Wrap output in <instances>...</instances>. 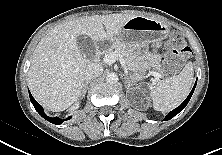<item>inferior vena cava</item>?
Instances as JSON below:
<instances>
[{
  "label": "inferior vena cava",
  "instance_id": "obj_1",
  "mask_svg": "<svg viewBox=\"0 0 222 155\" xmlns=\"http://www.w3.org/2000/svg\"><path fill=\"white\" fill-rule=\"evenodd\" d=\"M102 72H103V67L101 65L96 63H91L85 69L84 76L86 80H91L100 76Z\"/></svg>",
  "mask_w": 222,
  "mask_h": 155
}]
</instances>
